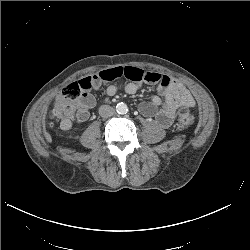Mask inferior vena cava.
<instances>
[{
  "instance_id": "inferior-vena-cava-1",
  "label": "inferior vena cava",
  "mask_w": 250,
  "mask_h": 250,
  "mask_svg": "<svg viewBox=\"0 0 250 250\" xmlns=\"http://www.w3.org/2000/svg\"><path fill=\"white\" fill-rule=\"evenodd\" d=\"M115 110L113 109V107L109 106V105H102L99 108V114L104 117H111L114 115Z\"/></svg>"
}]
</instances>
